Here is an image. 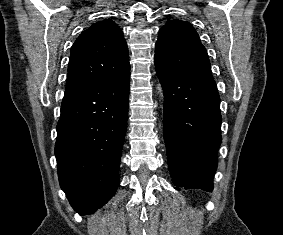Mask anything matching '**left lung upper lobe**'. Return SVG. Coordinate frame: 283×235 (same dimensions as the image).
I'll list each match as a JSON object with an SVG mask.
<instances>
[{
    "label": "left lung upper lobe",
    "instance_id": "obj_1",
    "mask_svg": "<svg viewBox=\"0 0 283 235\" xmlns=\"http://www.w3.org/2000/svg\"><path fill=\"white\" fill-rule=\"evenodd\" d=\"M154 60L162 69L213 80L207 51L196 30L186 21L170 20L161 27Z\"/></svg>",
    "mask_w": 283,
    "mask_h": 235
}]
</instances>
